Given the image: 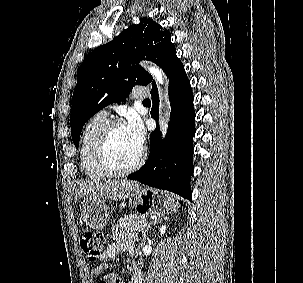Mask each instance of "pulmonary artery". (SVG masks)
I'll return each mask as SVG.
<instances>
[{"label": "pulmonary artery", "instance_id": "obj_1", "mask_svg": "<svg viewBox=\"0 0 303 283\" xmlns=\"http://www.w3.org/2000/svg\"><path fill=\"white\" fill-rule=\"evenodd\" d=\"M132 95L136 99H141V98L149 97L150 93H149V90L146 87L140 86V87H137L133 90ZM102 112L104 114L108 115V113L106 111H102Z\"/></svg>", "mask_w": 303, "mask_h": 283}]
</instances>
